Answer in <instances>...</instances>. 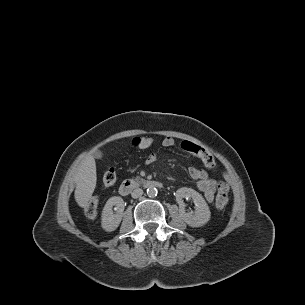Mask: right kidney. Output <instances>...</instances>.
<instances>
[{
  "label": "right kidney",
  "mask_w": 305,
  "mask_h": 305,
  "mask_svg": "<svg viewBox=\"0 0 305 305\" xmlns=\"http://www.w3.org/2000/svg\"><path fill=\"white\" fill-rule=\"evenodd\" d=\"M113 206H115L114 208V210L116 211L115 213L113 212L112 209ZM124 207H125L124 201L119 196H114L107 200L102 211V222H101V226L105 231L112 232L117 229V227L119 226L122 220Z\"/></svg>",
  "instance_id": "1"
}]
</instances>
